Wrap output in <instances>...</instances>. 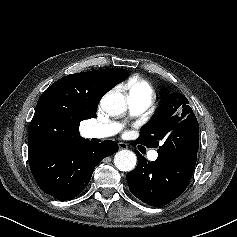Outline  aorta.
Instances as JSON below:
<instances>
[{
    "instance_id": "obj_1",
    "label": "aorta",
    "mask_w": 237,
    "mask_h": 237,
    "mask_svg": "<svg viewBox=\"0 0 237 237\" xmlns=\"http://www.w3.org/2000/svg\"><path fill=\"white\" fill-rule=\"evenodd\" d=\"M102 109L111 116L124 113L127 110L126 99L123 94L115 91L108 92L101 99ZM137 157L130 150H121L115 154L114 164L120 170L129 172L136 166Z\"/></svg>"
}]
</instances>
